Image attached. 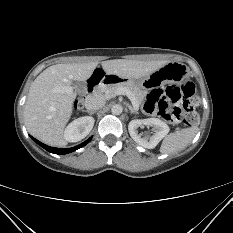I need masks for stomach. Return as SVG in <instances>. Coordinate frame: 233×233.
Masks as SVG:
<instances>
[{
	"label": "stomach",
	"instance_id": "1",
	"mask_svg": "<svg viewBox=\"0 0 233 233\" xmlns=\"http://www.w3.org/2000/svg\"><path fill=\"white\" fill-rule=\"evenodd\" d=\"M188 75L189 70L185 65L178 62H168L146 78L139 79L138 81L122 78L117 75L116 77L119 80L118 84H127L132 87L144 86L150 89L164 83H179L187 78Z\"/></svg>",
	"mask_w": 233,
	"mask_h": 233
}]
</instances>
